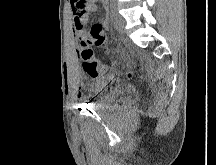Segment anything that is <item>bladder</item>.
<instances>
[{
    "label": "bladder",
    "mask_w": 216,
    "mask_h": 165,
    "mask_svg": "<svg viewBox=\"0 0 216 165\" xmlns=\"http://www.w3.org/2000/svg\"><path fill=\"white\" fill-rule=\"evenodd\" d=\"M120 80V76H112L111 74L95 77L92 82L95 96L90 103L91 107L95 110L108 109L119 95L117 86H119Z\"/></svg>",
    "instance_id": "bladder-1"
}]
</instances>
